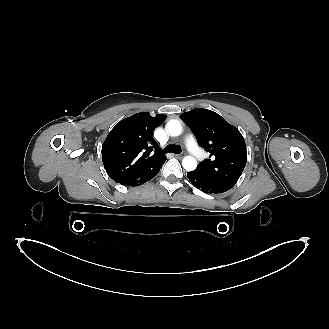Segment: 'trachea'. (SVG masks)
I'll return each mask as SVG.
<instances>
[{"mask_svg":"<svg viewBox=\"0 0 329 329\" xmlns=\"http://www.w3.org/2000/svg\"><path fill=\"white\" fill-rule=\"evenodd\" d=\"M181 148L179 146H175V145H167L164 149V153H176L179 154L181 152Z\"/></svg>","mask_w":329,"mask_h":329,"instance_id":"trachea-1","label":"trachea"}]
</instances>
